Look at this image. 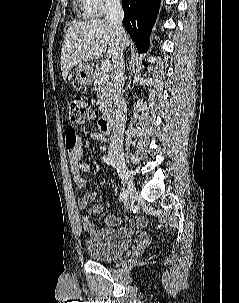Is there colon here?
Listing matches in <instances>:
<instances>
[{"label": "colon", "instance_id": "obj_1", "mask_svg": "<svg viewBox=\"0 0 239 303\" xmlns=\"http://www.w3.org/2000/svg\"><path fill=\"white\" fill-rule=\"evenodd\" d=\"M90 107L88 103L79 95H73L69 100V121L71 123L79 122L88 117Z\"/></svg>", "mask_w": 239, "mask_h": 303}]
</instances>
